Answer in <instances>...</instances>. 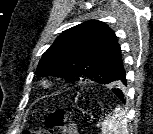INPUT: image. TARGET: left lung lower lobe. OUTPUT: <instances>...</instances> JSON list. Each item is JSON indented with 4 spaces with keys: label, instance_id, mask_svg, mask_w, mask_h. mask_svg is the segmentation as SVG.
I'll return each mask as SVG.
<instances>
[{
    "label": "left lung lower lobe",
    "instance_id": "1",
    "mask_svg": "<svg viewBox=\"0 0 153 134\" xmlns=\"http://www.w3.org/2000/svg\"><path fill=\"white\" fill-rule=\"evenodd\" d=\"M120 78L123 82L127 83V80H126V72L123 71L120 73ZM113 93L122 101L125 103V100H124V94H123V91L120 90V89H112Z\"/></svg>",
    "mask_w": 153,
    "mask_h": 134
}]
</instances>
